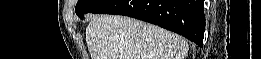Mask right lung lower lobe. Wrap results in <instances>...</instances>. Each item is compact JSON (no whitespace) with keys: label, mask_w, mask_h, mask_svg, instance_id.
Listing matches in <instances>:
<instances>
[{"label":"right lung lower lobe","mask_w":261,"mask_h":59,"mask_svg":"<svg viewBox=\"0 0 261 59\" xmlns=\"http://www.w3.org/2000/svg\"><path fill=\"white\" fill-rule=\"evenodd\" d=\"M93 13L124 15L176 32L203 46L204 0H109Z\"/></svg>","instance_id":"obj_1"}]
</instances>
